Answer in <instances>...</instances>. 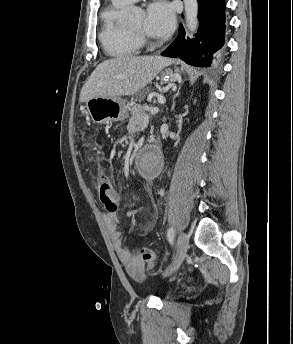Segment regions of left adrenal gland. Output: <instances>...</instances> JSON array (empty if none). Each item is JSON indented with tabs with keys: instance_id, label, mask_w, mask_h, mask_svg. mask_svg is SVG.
Segmentation results:
<instances>
[{
	"instance_id": "left-adrenal-gland-1",
	"label": "left adrenal gland",
	"mask_w": 293,
	"mask_h": 344,
	"mask_svg": "<svg viewBox=\"0 0 293 344\" xmlns=\"http://www.w3.org/2000/svg\"><path fill=\"white\" fill-rule=\"evenodd\" d=\"M174 106H175V103L173 102V105H172V110L174 109Z\"/></svg>"
}]
</instances>
